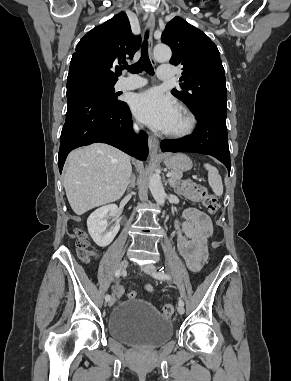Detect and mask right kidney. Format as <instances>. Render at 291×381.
<instances>
[{
  "label": "right kidney",
  "mask_w": 291,
  "mask_h": 381,
  "mask_svg": "<svg viewBox=\"0 0 291 381\" xmlns=\"http://www.w3.org/2000/svg\"><path fill=\"white\" fill-rule=\"evenodd\" d=\"M110 216L115 221L114 225L107 230V217ZM87 227L93 241L100 247L108 246L120 229V218L118 207L115 204L102 206L95 210L87 219Z\"/></svg>",
  "instance_id": "obj_1"
}]
</instances>
